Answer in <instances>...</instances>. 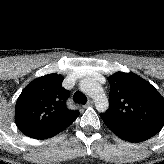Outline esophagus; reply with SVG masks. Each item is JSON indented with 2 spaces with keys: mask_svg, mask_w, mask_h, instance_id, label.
<instances>
[{
  "mask_svg": "<svg viewBox=\"0 0 164 164\" xmlns=\"http://www.w3.org/2000/svg\"><path fill=\"white\" fill-rule=\"evenodd\" d=\"M93 104H94L93 100H89V101L87 102V104H85L83 107H84V108L91 107V106H93Z\"/></svg>",
  "mask_w": 164,
  "mask_h": 164,
  "instance_id": "esophagus-1",
  "label": "esophagus"
}]
</instances>
